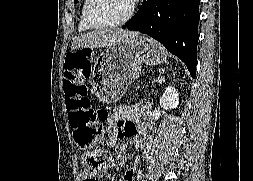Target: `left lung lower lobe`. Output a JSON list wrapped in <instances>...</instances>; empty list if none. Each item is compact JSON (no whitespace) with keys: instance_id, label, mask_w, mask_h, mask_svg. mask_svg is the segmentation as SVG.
Listing matches in <instances>:
<instances>
[{"instance_id":"1","label":"left lung lower lobe","mask_w":253,"mask_h":181,"mask_svg":"<svg viewBox=\"0 0 253 181\" xmlns=\"http://www.w3.org/2000/svg\"><path fill=\"white\" fill-rule=\"evenodd\" d=\"M200 0H143L123 28L145 33L179 57L195 78Z\"/></svg>"}]
</instances>
